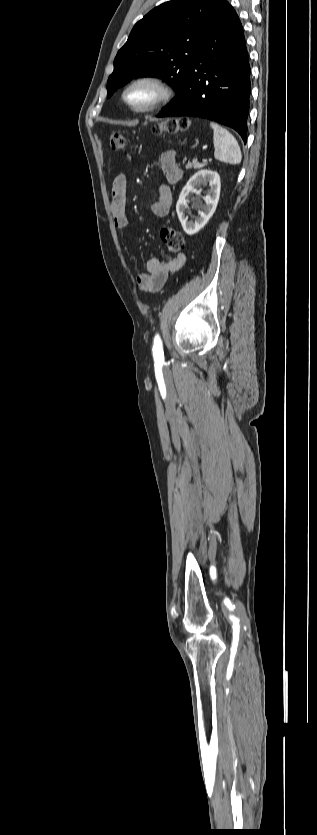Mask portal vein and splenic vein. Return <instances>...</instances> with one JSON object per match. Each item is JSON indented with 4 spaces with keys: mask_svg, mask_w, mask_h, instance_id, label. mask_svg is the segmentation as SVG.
<instances>
[{
    "mask_svg": "<svg viewBox=\"0 0 317 835\" xmlns=\"http://www.w3.org/2000/svg\"><path fill=\"white\" fill-rule=\"evenodd\" d=\"M207 161H208V158H204V159H203V162H205V163H206Z\"/></svg>",
    "mask_w": 317,
    "mask_h": 835,
    "instance_id": "portal-vein-and-splenic-vein-1",
    "label": "portal vein and splenic vein"
}]
</instances>
